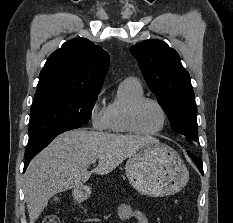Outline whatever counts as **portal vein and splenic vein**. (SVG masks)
I'll return each instance as SVG.
<instances>
[{"instance_id": "obj_1", "label": "portal vein and splenic vein", "mask_w": 233, "mask_h": 223, "mask_svg": "<svg viewBox=\"0 0 233 223\" xmlns=\"http://www.w3.org/2000/svg\"><path fill=\"white\" fill-rule=\"evenodd\" d=\"M92 163H96V159H92Z\"/></svg>"}]
</instances>
